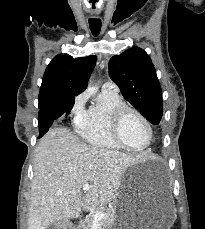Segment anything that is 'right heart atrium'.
I'll use <instances>...</instances> for the list:
<instances>
[{
  "label": "right heart atrium",
  "instance_id": "right-heart-atrium-1",
  "mask_svg": "<svg viewBox=\"0 0 205 229\" xmlns=\"http://www.w3.org/2000/svg\"><path fill=\"white\" fill-rule=\"evenodd\" d=\"M87 101V93L82 92L74 98L70 114L77 124L85 115L86 109L85 104Z\"/></svg>",
  "mask_w": 205,
  "mask_h": 229
}]
</instances>
